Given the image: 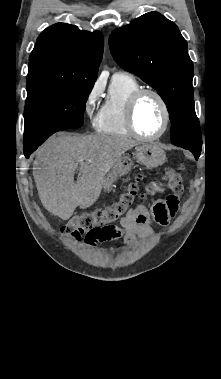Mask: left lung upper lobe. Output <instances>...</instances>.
Masks as SVG:
<instances>
[{
	"instance_id": "5c2ea615",
	"label": "left lung upper lobe",
	"mask_w": 221,
	"mask_h": 379,
	"mask_svg": "<svg viewBox=\"0 0 221 379\" xmlns=\"http://www.w3.org/2000/svg\"><path fill=\"white\" fill-rule=\"evenodd\" d=\"M109 45L115 61L157 90L164 100L172 123L171 142L200 154L202 137L194 109L193 63L176 24L158 12H149L114 30Z\"/></svg>"
}]
</instances>
